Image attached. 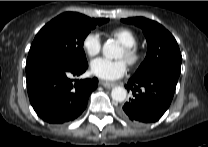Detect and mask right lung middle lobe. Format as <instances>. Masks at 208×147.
Segmentation results:
<instances>
[{
    "label": "right lung middle lobe",
    "instance_id": "right-lung-middle-lobe-1",
    "mask_svg": "<svg viewBox=\"0 0 208 147\" xmlns=\"http://www.w3.org/2000/svg\"><path fill=\"white\" fill-rule=\"evenodd\" d=\"M108 19L89 20L75 13H63L47 23L36 35L27 63L45 59H63L87 65L83 43L88 33Z\"/></svg>",
    "mask_w": 208,
    "mask_h": 147
}]
</instances>
